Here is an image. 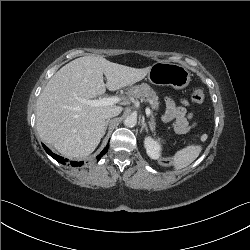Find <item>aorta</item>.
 Returning <instances> with one entry per match:
<instances>
[{
	"label": "aorta",
	"instance_id": "762f6f07",
	"mask_svg": "<svg viewBox=\"0 0 250 250\" xmlns=\"http://www.w3.org/2000/svg\"><path fill=\"white\" fill-rule=\"evenodd\" d=\"M136 123H137V118L135 116H132V115L126 117L124 120V125L126 127L132 128L136 125Z\"/></svg>",
	"mask_w": 250,
	"mask_h": 250
}]
</instances>
